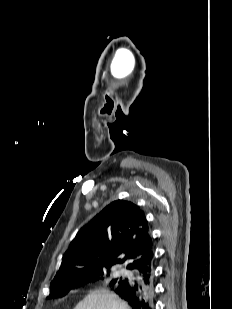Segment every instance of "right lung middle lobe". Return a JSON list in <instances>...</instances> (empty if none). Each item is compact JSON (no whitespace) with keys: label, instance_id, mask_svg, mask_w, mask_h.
I'll use <instances>...</instances> for the list:
<instances>
[{"label":"right lung middle lobe","instance_id":"right-lung-middle-lobe-1","mask_svg":"<svg viewBox=\"0 0 232 309\" xmlns=\"http://www.w3.org/2000/svg\"><path fill=\"white\" fill-rule=\"evenodd\" d=\"M104 273L105 270L89 273L82 275L80 277H77L73 280L64 281V282H57L53 286H50V295L49 296H56L60 295L61 297L66 295L71 289L85 285L87 283L96 282L104 279ZM109 273V270H107V275ZM124 278L119 279H112L109 282L110 287H115L118 284H120L123 281Z\"/></svg>","mask_w":232,"mask_h":309}]
</instances>
